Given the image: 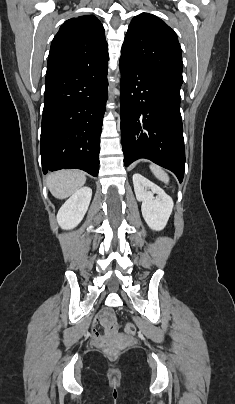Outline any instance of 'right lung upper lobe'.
<instances>
[{"instance_id": "obj_1", "label": "right lung upper lobe", "mask_w": 235, "mask_h": 404, "mask_svg": "<svg viewBox=\"0 0 235 404\" xmlns=\"http://www.w3.org/2000/svg\"><path fill=\"white\" fill-rule=\"evenodd\" d=\"M104 28L92 15L78 16L64 22L55 35L47 62V75L108 62Z\"/></svg>"}]
</instances>
